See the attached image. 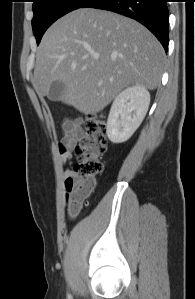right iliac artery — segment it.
<instances>
[{
    "mask_svg": "<svg viewBox=\"0 0 195 299\" xmlns=\"http://www.w3.org/2000/svg\"><path fill=\"white\" fill-rule=\"evenodd\" d=\"M68 299H71V296H70V295L68 296Z\"/></svg>",
    "mask_w": 195,
    "mask_h": 299,
    "instance_id": "right-iliac-artery-1",
    "label": "right iliac artery"
}]
</instances>
